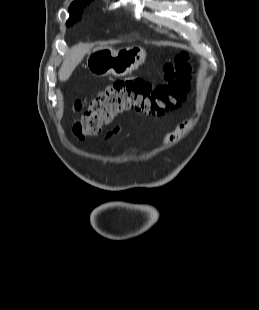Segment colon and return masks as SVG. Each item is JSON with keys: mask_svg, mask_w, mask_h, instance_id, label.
Listing matches in <instances>:
<instances>
[{"mask_svg": "<svg viewBox=\"0 0 259 310\" xmlns=\"http://www.w3.org/2000/svg\"><path fill=\"white\" fill-rule=\"evenodd\" d=\"M187 54L181 53L166 59L162 70L165 82L159 85L141 79L116 81L95 97L74 124L76 137L95 136L118 115L135 111L146 115H161L178 107L189 90L190 66ZM82 110V101L75 102Z\"/></svg>", "mask_w": 259, "mask_h": 310, "instance_id": "1", "label": "colon"}]
</instances>
